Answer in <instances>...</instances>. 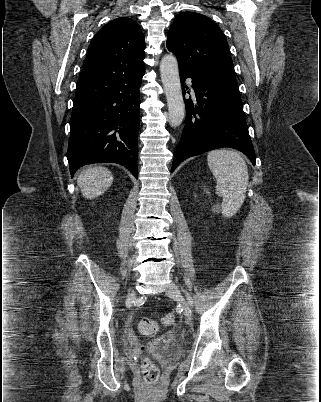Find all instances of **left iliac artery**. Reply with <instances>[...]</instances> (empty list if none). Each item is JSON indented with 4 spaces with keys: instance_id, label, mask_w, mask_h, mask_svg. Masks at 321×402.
<instances>
[{
    "instance_id": "obj_1",
    "label": "left iliac artery",
    "mask_w": 321,
    "mask_h": 402,
    "mask_svg": "<svg viewBox=\"0 0 321 402\" xmlns=\"http://www.w3.org/2000/svg\"><path fill=\"white\" fill-rule=\"evenodd\" d=\"M186 294V298H187V300H188V303L192 306L193 305V299H192V297L190 296V294L189 293H185Z\"/></svg>"
}]
</instances>
